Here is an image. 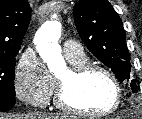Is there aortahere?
<instances>
[{
  "instance_id": "762f6f07",
  "label": "aorta",
  "mask_w": 142,
  "mask_h": 119,
  "mask_svg": "<svg viewBox=\"0 0 142 119\" xmlns=\"http://www.w3.org/2000/svg\"><path fill=\"white\" fill-rule=\"evenodd\" d=\"M62 27L57 20L47 21L35 34L34 43L41 58L51 73H59L66 66L58 44Z\"/></svg>"
}]
</instances>
